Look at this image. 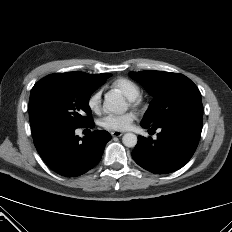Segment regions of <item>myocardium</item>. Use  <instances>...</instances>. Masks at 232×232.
Wrapping results in <instances>:
<instances>
[{"mask_svg": "<svg viewBox=\"0 0 232 232\" xmlns=\"http://www.w3.org/2000/svg\"><path fill=\"white\" fill-rule=\"evenodd\" d=\"M129 103L132 106H139L141 104V98L136 97V98H133V99H129Z\"/></svg>", "mask_w": 232, "mask_h": 232, "instance_id": "1", "label": "myocardium"}]
</instances>
